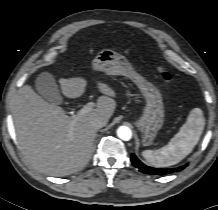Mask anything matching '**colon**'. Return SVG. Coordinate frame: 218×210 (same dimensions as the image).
Here are the masks:
<instances>
[{
	"label": "colon",
	"instance_id": "5ec220e1",
	"mask_svg": "<svg viewBox=\"0 0 218 210\" xmlns=\"http://www.w3.org/2000/svg\"><path fill=\"white\" fill-rule=\"evenodd\" d=\"M159 75L162 81L166 84L170 83L172 80V75L163 69H159Z\"/></svg>",
	"mask_w": 218,
	"mask_h": 210
}]
</instances>
